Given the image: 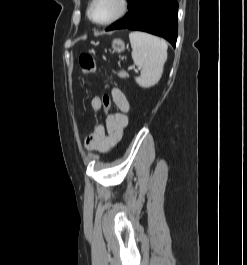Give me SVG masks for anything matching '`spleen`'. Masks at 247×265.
<instances>
[{
  "mask_svg": "<svg viewBox=\"0 0 247 265\" xmlns=\"http://www.w3.org/2000/svg\"><path fill=\"white\" fill-rule=\"evenodd\" d=\"M134 64L141 69L135 80L138 85L149 88L160 80L167 59V43L154 35L134 31L129 34Z\"/></svg>",
  "mask_w": 247,
  "mask_h": 265,
  "instance_id": "spleen-1",
  "label": "spleen"
}]
</instances>
